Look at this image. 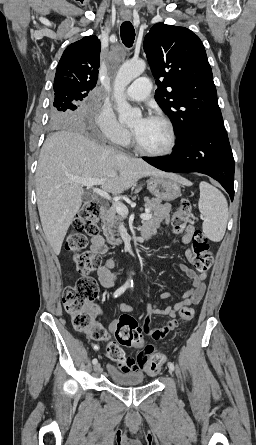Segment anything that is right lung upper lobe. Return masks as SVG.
I'll list each match as a JSON object with an SVG mask.
<instances>
[{
  "label": "right lung upper lobe",
  "mask_w": 256,
  "mask_h": 445,
  "mask_svg": "<svg viewBox=\"0 0 256 445\" xmlns=\"http://www.w3.org/2000/svg\"><path fill=\"white\" fill-rule=\"evenodd\" d=\"M100 49V40L94 35L70 44L57 66L54 79L55 94L68 90L86 97L96 86Z\"/></svg>",
  "instance_id": "1"
}]
</instances>
